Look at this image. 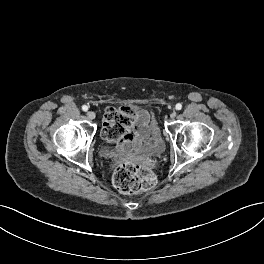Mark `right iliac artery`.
<instances>
[{
	"label": "right iliac artery",
	"mask_w": 264,
	"mask_h": 264,
	"mask_svg": "<svg viewBox=\"0 0 264 264\" xmlns=\"http://www.w3.org/2000/svg\"><path fill=\"white\" fill-rule=\"evenodd\" d=\"M82 110L86 112V111L88 110V106L83 105V106H82Z\"/></svg>",
	"instance_id": "82829eb1"
}]
</instances>
